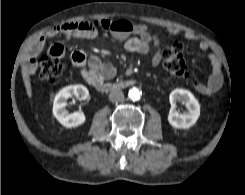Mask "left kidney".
Listing matches in <instances>:
<instances>
[{"label": "left kidney", "instance_id": "5707ae66", "mask_svg": "<svg viewBox=\"0 0 245 195\" xmlns=\"http://www.w3.org/2000/svg\"><path fill=\"white\" fill-rule=\"evenodd\" d=\"M171 109L168 114V122L174 128L188 129L193 126L200 116V104L194 95L185 89H175L169 95ZM186 105L188 112L180 113L176 110V103Z\"/></svg>", "mask_w": 245, "mask_h": 195}]
</instances>
